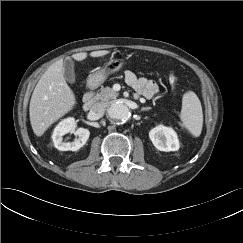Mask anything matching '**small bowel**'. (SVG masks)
Segmentation results:
<instances>
[{
    "mask_svg": "<svg viewBox=\"0 0 243 243\" xmlns=\"http://www.w3.org/2000/svg\"><path fill=\"white\" fill-rule=\"evenodd\" d=\"M124 77L126 83L135 90L137 96L150 99L159 91V86L154 80L138 77L132 71H126Z\"/></svg>",
    "mask_w": 243,
    "mask_h": 243,
    "instance_id": "small-bowel-1",
    "label": "small bowel"
}]
</instances>
